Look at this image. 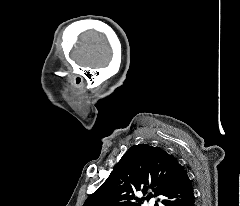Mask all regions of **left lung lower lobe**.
<instances>
[{"label": "left lung lower lobe", "instance_id": "1", "mask_svg": "<svg viewBox=\"0 0 240 206\" xmlns=\"http://www.w3.org/2000/svg\"><path fill=\"white\" fill-rule=\"evenodd\" d=\"M162 204L164 206H195V197L191 180L183 166L179 163L175 178Z\"/></svg>", "mask_w": 240, "mask_h": 206}]
</instances>
